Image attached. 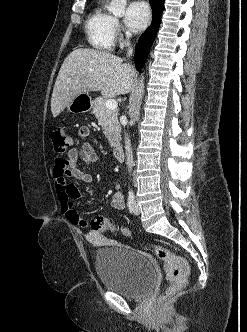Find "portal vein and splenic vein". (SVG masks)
<instances>
[{
    "mask_svg": "<svg viewBox=\"0 0 247 332\" xmlns=\"http://www.w3.org/2000/svg\"><path fill=\"white\" fill-rule=\"evenodd\" d=\"M106 107L108 109H111V110H114L117 108L118 104H117V101L114 100V99H108L106 100V103H105Z\"/></svg>",
    "mask_w": 247,
    "mask_h": 332,
    "instance_id": "1",
    "label": "portal vein and splenic vein"
}]
</instances>
